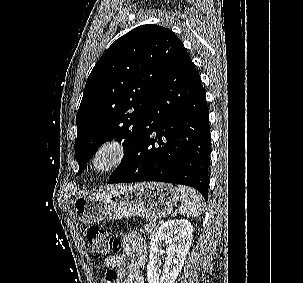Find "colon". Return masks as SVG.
I'll return each mask as SVG.
<instances>
[{"label": "colon", "instance_id": "1", "mask_svg": "<svg viewBox=\"0 0 303 283\" xmlns=\"http://www.w3.org/2000/svg\"><path fill=\"white\" fill-rule=\"evenodd\" d=\"M85 236L91 251L99 256L108 255L120 247L118 239L114 238L108 231L97 226L88 227Z\"/></svg>", "mask_w": 303, "mask_h": 283}]
</instances>
